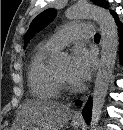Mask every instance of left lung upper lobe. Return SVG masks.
Listing matches in <instances>:
<instances>
[{
    "instance_id": "1",
    "label": "left lung upper lobe",
    "mask_w": 123,
    "mask_h": 130,
    "mask_svg": "<svg viewBox=\"0 0 123 130\" xmlns=\"http://www.w3.org/2000/svg\"><path fill=\"white\" fill-rule=\"evenodd\" d=\"M96 5L102 6L104 8H108V3L105 0H92ZM56 16L55 9H47L40 13L37 17L33 19L29 30L24 36V45L26 46L28 40L41 29H43L46 25H48Z\"/></svg>"
}]
</instances>
